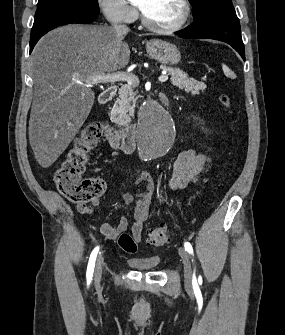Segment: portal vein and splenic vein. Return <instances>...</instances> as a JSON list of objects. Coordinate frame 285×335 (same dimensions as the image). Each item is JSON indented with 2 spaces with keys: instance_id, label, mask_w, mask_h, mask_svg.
Segmentation results:
<instances>
[{
  "instance_id": "portal-vein-and-splenic-vein-1",
  "label": "portal vein and splenic vein",
  "mask_w": 285,
  "mask_h": 335,
  "mask_svg": "<svg viewBox=\"0 0 285 335\" xmlns=\"http://www.w3.org/2000/svg\"><path fill=\"white\" fill-rule=\"evenodd\" d=\"M162 76H159V82H166L168 76L167 72H161ZM84 84H107V82H127V84H138V78L136 76H130V74H123V72H117V74H100V76H87L84 80H81Z\"/></svg>"
}]
</instances>
